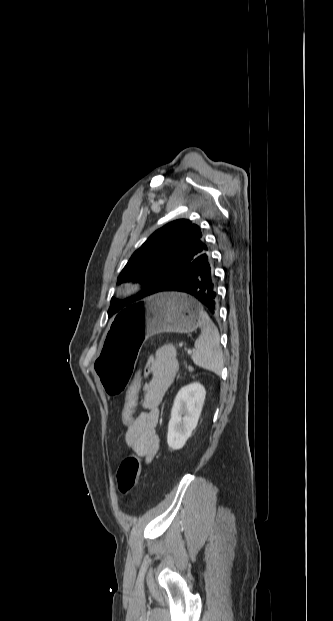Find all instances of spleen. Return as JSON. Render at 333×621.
<instances>
[{
    "mask_svg": "<svg viewBox=\"0 0 333 621\" xmlns=\"http://www.w3.org/2000/svg\"><path fill=\"white\" fill-rule=\"evenodd\" d=\"M192 360L195 365L220 375L223 369V352L217 327L205 313L201 321V334L195 341Z\"/></svg>",
    "mask_w": 333,
    "mask_h": 621,
    "instance_id": "3e777b00",
    "label": "spleen"
}]
</instances>
